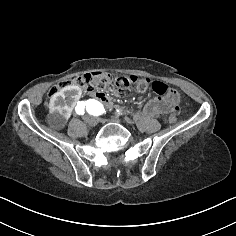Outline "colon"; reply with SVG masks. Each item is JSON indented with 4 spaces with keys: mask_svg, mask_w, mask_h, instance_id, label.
<instances>
[{
    "mask_svg": "<svg viewBox=\"0 0 236 236\" xmlns=\"http://www.w3.org/2000/svg\"><path fill=\"white\" fill-rule=\"evenodd\" d=\"M73 84L80 86L88 94L102 92V90L109 88H115L123 93L129 92L132 88L141 92L151 88L155 93L167 95L170 100H172L174 104L173 114H170L165 118V121L170 124L176 122V114L181 111V102L178 94L164 83L149 81L135 75L113 77L111 74L102 71H93L74 79L61 81L49 89V96H52L59 90Z\"/></svg>",
    "mask_w": 236,
    "mask_h": 236,
    "instance_id": "5ec220e1",
    "label": "colon"
}]
</instances>
